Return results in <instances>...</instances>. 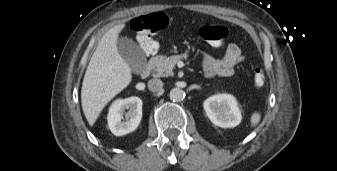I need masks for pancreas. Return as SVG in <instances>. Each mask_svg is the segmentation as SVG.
<instances>
[{
  "label": "pancreas",
  "mask_w": 337,
  "mask_h": 171,
  "mask_svg": "<svg viewBox=\"0 0 337 171\" xmlns=\"http://www.w3.org/2000/svg\"><path fill=\"white\" fill-rule=\"evenodd\" d=\"M187 58H188L187 53H183L180 55H173L170 57H166L163 55L156 56L151 63L154 75L156 77H165L173 75L172 70L175 64H177L180 60Z\"/></svg>",
  "instance_id": "1"
}]
</instances>
